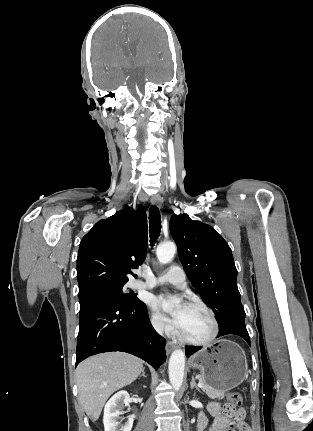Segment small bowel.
I'll list each match as a JSON object with an SVG mask.
<instances>
[{
  "instance_id": "1",
  "label": "small bowel",
  "mask_w": 313,
  "mask_h": 431,
  "mask_svg": "<svg viewBox=\"0 0 313 431\" xmlns=\"http://www.w3.org/2000/svg\"><path fill=\"white\" fill-rule=\"evenodd\" d=\"M208 411L213 417V423L209 431H232L233 419L235 420L238 431H252L249 424L246 422V410L239 408L233 410L231 414H225L224 409L218 403H210ZM207 424L205 416L201 415L198 422V428L202 431Z\"/></svg>"
}]
</instances>
